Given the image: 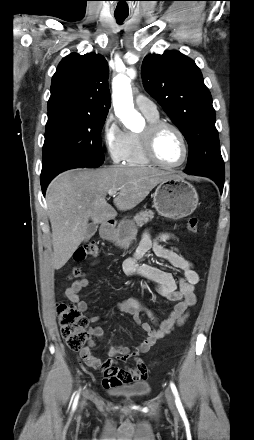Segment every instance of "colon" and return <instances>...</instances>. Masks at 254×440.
<instances>
[{"label": "colon", "mask_w": 254, "mask_h": 440, "mask_svg": "<svg viewBox=\"0 0 254 440\" xmlns=\"http://www.w3.org/2000/svg\"><path fill=\"white\" fill-rule=\"evenodd\" d=\"M199 221L196 217H190L187 222V229L190 232L198 231ZM99 254V247L95 242H88L78 247L73 260L82 262L89 257H96ZM81 276L79 269H74L71 278ZM58 319L61 326V335L71 350L82 351L85 349L89 334V319L82 315L74 304L59 303L57 306Z\"/></svg>", "instance_id": "obj_1"}]
</instances>
